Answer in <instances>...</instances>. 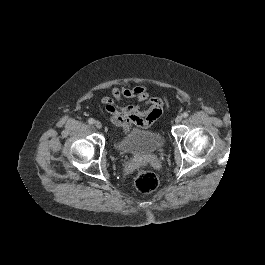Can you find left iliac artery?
Returning a JSON list of instances; mask_svg holds the SVG:
<instances>
[{
	"label": "left iliac artery",
	"mask_w": 265,
	"mask_h": 265,
	"mask_svg": "<svg viewBox=\"0 0 265 265\" xmlns=\"http://www.w3.org/2000/svg\"><path fill=\"white\" fill-rule=\"evenodd\" d=\"M182 116H183L184 118H186V117L189 116V114H188V112H184V113L182 114Z\"/></svg>",
	"instance_id": "1"
}]
</instances>
